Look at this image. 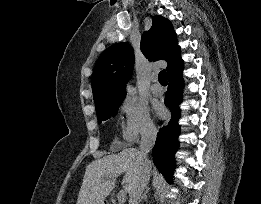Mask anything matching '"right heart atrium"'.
Returning <instances> with one entry per match:
<instances>
[{
	"instance_id": "obj_1",
	"label": "right heart atrium",
	"mask_w": 261,
	"mask_h": 204,
	"mask_svg": "<svg viewBox=\"0 0 261 204\" xmlns=\"http://www.w3.org/2000/svg\"><path fill=\"white\" fill-rule=\"evenodd\" d=\"M124 121L121 134L127 145H133L141 139L151 138L156 133V126L150 116L147 105L135 98L127 97L120 105Z\"/></svg>"
}]
</instances>
